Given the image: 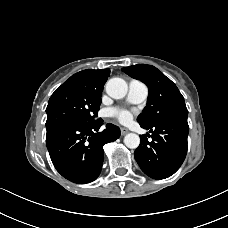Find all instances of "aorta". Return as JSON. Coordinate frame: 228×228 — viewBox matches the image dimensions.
<instances>
[{"label":"aorta","mask_w":228,"mask_h":228,"mask_svg":"<svg viewBox=\"0 0 228 228\" xmlns=\"http://www.w3.org/2000/svg\"><path fill=\"white\" fill-rule=\"evenodd\" d=\"M105 89L110 97L121 99L127 94L128 86L122 78H111L107 81ZM124 144L130 149H136L140 144V137L135 133H129L124 137Z\"/></svg>","instance_id":"aorta-1"}]
</instances>
